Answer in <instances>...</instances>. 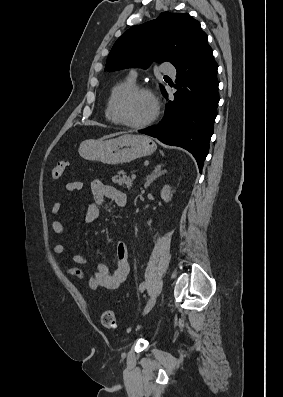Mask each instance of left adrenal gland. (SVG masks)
Listing matches in <instances>:
<instances>
[{
	"label": "left adrenal gland",
	"instance_id": "obj_1",
	"mask_svg": "<svg viewBox=\"0 0 283 397\" xmlns=\"http://www.w3.org/2000/svg\"><path fill=\"white\" fill-rule=\"evenodd\" d=\"M166 170H161V165L155 166L153 172L146 177V182L144 184V188H148L150 184L159 176L165 174Z\"/></svg>",
	"mask_w": 283,
	"mask_h": 397
}]
</instances>
